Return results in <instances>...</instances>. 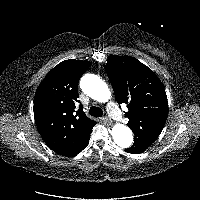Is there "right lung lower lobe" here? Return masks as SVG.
<instances>
[{"instance_id":"98d812e1","label":"right lung lower lobe","mask_w":200,"mask_h":200,"mask_svg":"<svg viewBox=\"0 0 200 200\" xmlns=\"http://www.w3.org/2000/svg\"><path fill=\"white\" fill-rule=\"evenodd\" d=\"M89 137H90V136H89ZM88 142H89V138L86 140V143L84 144V146H83V148L81 149V151L87 146ZM81 151H80V152H81Z\"/></svg>"}]
</instances>
